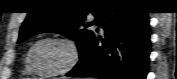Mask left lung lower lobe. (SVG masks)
Listing matches in <instances>:
<instances>
[{"label": "left lung lower lobe", "instance_id": "left-lung-lower-lobe-1", "mask_svg": "<svg viewBox=\"0 0 177 79\" xmlns=\"http://www.w3.org/2000/svg\"><path fill=\"white\" fill-rule=\"evenodd\" d=\"M94 34L78 64L66 76L102 79H146L150 54L149 17L130 6H111L102 10Z\"/></svg>", "mask_w": 177, "mask_h": 79}]
</instances>
